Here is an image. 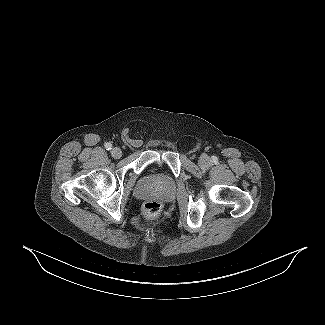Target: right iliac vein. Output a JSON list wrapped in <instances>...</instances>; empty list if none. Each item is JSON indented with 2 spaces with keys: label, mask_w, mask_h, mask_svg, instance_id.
I'll return each instance as SVG.
<instances>
[{
  "label": "right iliac vein",
  "mask_w": 325,
  "mask_h": 325,
  "mask_svg": "<svg viewBox=\"0 0 325 325\" xmlns=\"http://www.w3.org/2000/svg\"><path fill=\"white\" fill-rule=\"evenodd\" d=\"M111 155L112 157L114 158H120L122 156V151L120 148L118 147H114L112 150H111Z\"/></svg>",
  "instance_id": "right-iliac-vein-1"
}]
</instances>
